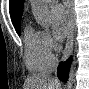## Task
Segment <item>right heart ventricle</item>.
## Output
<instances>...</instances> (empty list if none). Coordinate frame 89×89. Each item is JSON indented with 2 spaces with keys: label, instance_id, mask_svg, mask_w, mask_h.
Returning <instances> with one entry per match:
<instances>
[{
  "label": "right heart ventricle",
  "instance_id": "obj_1",
  "mask_svg": "<svg viewBox=\"0 0 89 89\" xmlns=\"http://www.w3.org/2000/svg\"><path fill=\"white\" fill-rule=\"evenodd\" d=\"M24 60L26 67L31 73L46 74L52 71L55 59L47 55L41 43V32L27 25L24 32Z\"/></svg>",
  "mask_w": 89,
  "mask_h": 89
}]
</instances>
